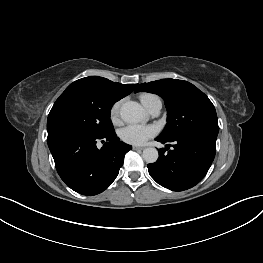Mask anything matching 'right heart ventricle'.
<instances>
[{
	"label": "right heart ventricle",
	"mask_w": 263,
	"mask_h": 263,
	"mask_svg": "<svg viewBox=\"0 0 263 263\" xmlns=\"http://www.w3.org/2000/svg\"><path fill=\"white\" fill-rule=\"evenodd\" d=\"M155 97L154 94L150 93H143L139 96L141 103L144 105V107L147 106V104L150 102V100Z\"/></svg>",
	"instance_id": "1"
}]
</instances>
